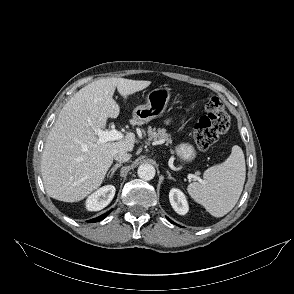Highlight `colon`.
<instances>
[{"mask_svg": "<svg viewBox=\"0 0 294 294\" xmlns=\"http://www.w3.org/2000/svg\"><path fill=\"white\" fill-rule=\"evenodd\" d=\"M231 119L222 101L216 96H209L205 104V114L199 119L194 129V140L201 151L209 149L221 135L225 134Z\"/></svg>", "mask_w": 294, "mask_h": 294, "instance_id": "colon-1", "label": "colon"}]
</instances>
